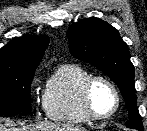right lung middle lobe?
<instances>
[{"instance_id": "obj_1", "label": "right lung middle lobe", "mask_w": 147, "mask_h": 131, "mask_svg": "<svg viewBox=\"0 0 147 131\" xmlns=\"http://www.w3.org/2000/svg\"><path fill=\"white\" fill-rule=\"evenodd\" d=\"M35 70H0V116L31 112L30 85Z\"/></svg>"}]
</instances>
